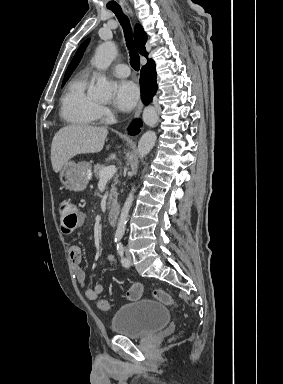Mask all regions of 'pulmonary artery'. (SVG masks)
<instances>
[{
	"mask_svg": "<svg viewBox=\"0 0 283 384\" xmlns=\"http://www.w3.org/2000/svg\"><path fill=\"white\" fill-rule=\"evenodd\" d=\"M111 71L116 77H127L130 74V69L124 64H114Z\"/></svg>",
	"mask_w": 283,
	"mask_h": 384,
	"instance_id": "obj_1",
	"label": "pulmonary artery"
}]
</instances>
